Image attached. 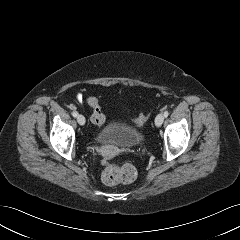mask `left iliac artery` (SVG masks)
I'll return each mask as SVG.
<instances>
[{
	"mask_svg": "<svg viewBox=\"0 0 240 240\" xmlns=\"http://www.w3.org/2000/svg\"><path fill=\"white\" fill-rule=\"evenodd\" d=\"M168 115H169V112H168V111H165V112H164V117H168Z\"/></svg>",
	"mask_w": 240,
	"mask_h": 240,
	"instance_id": "1",
	"label": "left iliac artery"
}]
</instances>
